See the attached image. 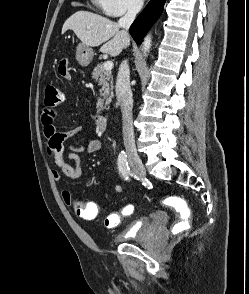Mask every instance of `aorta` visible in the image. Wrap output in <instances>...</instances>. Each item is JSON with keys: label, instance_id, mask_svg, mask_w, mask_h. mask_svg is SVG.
Listing matches in <instances>:
<instances>
[{"label": "aorta", "instance_id": "obj_1", "mask_svg": "<svg viewBox=\"0 0 249 294\" xmlns=\"http://www.w3.org/2000/svg\"><path fill=\"white\" fill-rule=\"evenodd\" d=\"M151 43H152V39H151V35H147L145 38H144V41L142 43V51H143V54L146 56L149 51H150V48H151Z\"/></svg>", "mask_w": 249, "mask_h": 294}]
</instances>
